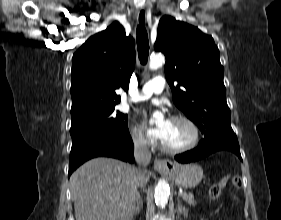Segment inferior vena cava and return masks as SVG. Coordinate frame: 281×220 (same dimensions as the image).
<instances>
[{
  "label": "inferior vena cava",
  "instance_id": "1",
  "mask_svg": "<svg viewBox=\"0 0 281 220\" xmlns=\"http://www.w3.org/2000/svg\"><path fill=\"white\" fill-rule=\"evenodd\" d=\"M134 157L140 165L138 170V185H144L147 182V165L151 160V152L143 139H136L134 141Z\"/></svg>",
  "mask_w": 281,
  "mask_h": 220
}]
</instances>
